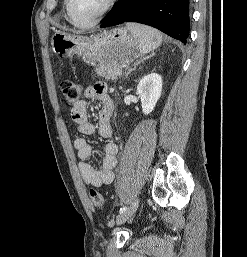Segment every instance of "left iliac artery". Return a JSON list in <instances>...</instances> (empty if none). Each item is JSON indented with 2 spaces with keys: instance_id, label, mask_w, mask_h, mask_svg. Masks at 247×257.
I'll return each mask as SVG.
<instances>
[{
  "instance_id": "left-iliac-artery-1",
  "label": "left iliac artery",
  "mask_w": 247,
  "mask_h": 257,
  "mask_svg": "<svg viewBox=\"0 0 247 257\" xmlns=\"http://www.w3.org/2000/svg\"><path fill=\"white\" fill-rule=\"evenodd\" d=\"M126 210H127V207L124 206V207L120 208L119 213H123V212L126 211Z\"/></svg>"
}]
</instances>
